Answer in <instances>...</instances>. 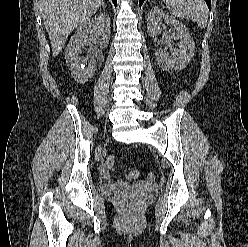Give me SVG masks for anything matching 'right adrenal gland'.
Returning a JSON list of instances; mask_svg holds the SVG:
<instances>
[{
	"label": "right adrenal gland",
	"instance_id": "2a0ac1e0",
	"mask_svg": "<svg viewBox=\"0 0 248 247\" xmlns=\"http://www.w3.org/2000/svg\"><path fill=\"white\" fill-rule=\"evenodd\" d=\"M101 6H102L103 10H105L104 2L102 3V5H101Z\"/></svg>",
	"mask_w": 248,
	"mask_h": 247
}]
</instances>
